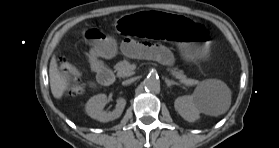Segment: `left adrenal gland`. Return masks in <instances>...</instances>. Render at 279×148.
<instances>
[{"label": "left adrenal gland", "mask_w": 279, "mask_h": 148, "mask_svg": "<svg viewBox=\"0 0 279 148\" xmlns=\"http://www.w3.org/2000/svg\"><path fill=\"white\" fill-rule=\"evenodd\" d=\"M165 82H166V84H167V87H169V88H171L172 87V85H180L179 83H177V82H175V81H173V80H169V79H167V78H165Z\"/></svg>", "instance_id": "obj_1"}]
</instances>
